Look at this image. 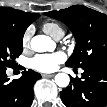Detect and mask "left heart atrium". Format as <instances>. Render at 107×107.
I'll list each match as a JSON object with an SVG mask.
<instances>
[{"label":"left heart atrium","mask_w":107,"mask_h":107,"mask_svg":"<svg viewBox=\"0 0 107 107\" xmlns=\"http://www.w3.org/2000/svg\"><path fill=\"white\" fill-rule=\"evenodd\" d=\"M65 60L66 55L61 51L39 54L31 60V67L42 73H51L56 71Z\"/></svg>","instance_id":"39dd6f15"}]
</instances>
